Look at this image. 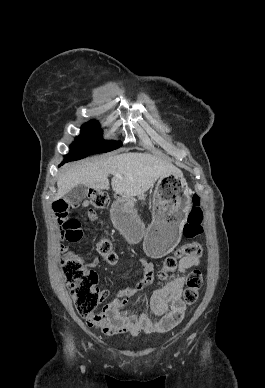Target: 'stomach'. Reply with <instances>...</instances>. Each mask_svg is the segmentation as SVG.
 Masks as SVG:
<instances>
[{"mask_svg":"<svg viewBox=\"0 0 265 388\" xmlns=\"http://www.w3.org/2000/svg\"><path fill=\"white\" fill-rule=\"evenodd\" d=\"M190 207L191 189L183 175L170 174L157 182L153 194V221L147 229L127 197L114 202L112 218L129 242L137 243L144 237L146 253L160 258L178 244Z\"/></svg>","mask_w":265,"mask_h":388,"instance_id":"0dacf381","label":"stomach"}]
</instances>
